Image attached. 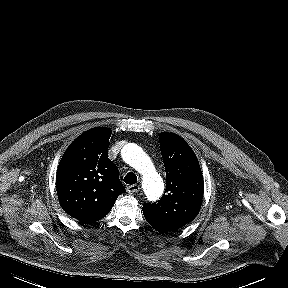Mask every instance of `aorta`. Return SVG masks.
<instances>
[{
  "label": "aorta",
  "mask_w": 288,
  "mask_h": 288,
  "mask_svg": "<svg viewBox=\"0 0 288 288\" xmlns=\"http://www.w3.org/2000/svg\"><path fill=\"white\" fill-rule=\"evenodd\" d=\"M121 155L127 164L142 175V185L147 199L150 201L159 199L164 191V182L142 148L134 143H128L123 147Z\"/></svg>",
  "instance_id": "aorta-1"
}]
</instances>
